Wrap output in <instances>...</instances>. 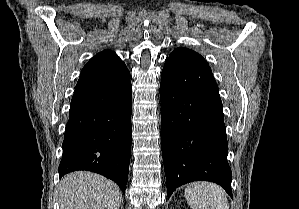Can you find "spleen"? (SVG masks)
Instances as JSON below:
<instances>
[{"label":"spleen","mask_w":299,"mask_h":209,"mask_svg":"<svg viewBox=\"0 0 299 209\" xmlns=\"http://www.w3.org/2000/svg\"><path fill=\"white\" fill-rule=\"evenodd\" d=\"M185 198L192 209H229L223 188L210 182H193L185 189Z\"/></svg>","instance_id":"obj_1"}]
</instances>
